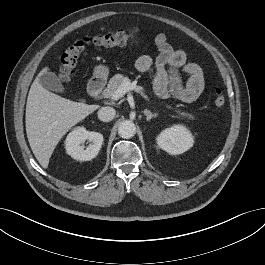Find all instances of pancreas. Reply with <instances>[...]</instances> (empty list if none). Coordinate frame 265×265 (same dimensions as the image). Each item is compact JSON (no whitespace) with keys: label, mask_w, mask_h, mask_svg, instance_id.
Instances as JSON below:
<instances>
[{"label":"pancreas","mask_w":265,"mask_h":265,"mask_svg":"<svg viewBox=\"0 0 265 265\" xmlns=\"http://www.w3.org/2000/svg\"><path fill=\"white\" fill-rule=\"evenodd\" d=\"M127 79L123 74H116L110 80L106 89L102 92V96L105 98H112L114 92L122 85L123 81ZM169 107V106H168ZM181 117L193 120L194 116L184 112H178Z\"/></svg>","instance_id":"cf45deb5"}]
</instances>
